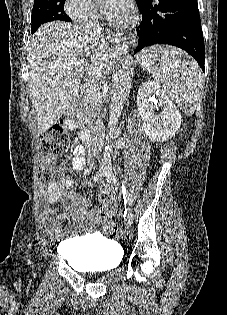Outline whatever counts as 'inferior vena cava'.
I'll return each instance as SVG.
<instances>
[{"label": "inferior vena cava", "mask_w": 227, "mask_h": 315, "mask_svg": "<svg viewBox=\"0 0 227 315\" xmlns=\"http://www.w3.org/2000/svg\"><path fill=\"white\" fill-rule=\"evenodd\" d=\"M90 20L89 23L86 25L85 30L92 34L96 38L101 37L102 27L99 24V21L96 19V16H94V11L90 12ZM105 86V81L101 82ZM102 108V101H99L96 103L95 109L97 110L96 113V122L93 127L92 131V151L95 153L98 150L101 149L103 146V139H104V133H105V126L101 119V111ZM109 168L110 167V161L107 163L102 162L101 168Z\"/></svg>", "instance_id": "inferior-vena-cava-1"}]
</instances>
